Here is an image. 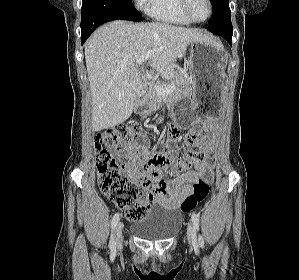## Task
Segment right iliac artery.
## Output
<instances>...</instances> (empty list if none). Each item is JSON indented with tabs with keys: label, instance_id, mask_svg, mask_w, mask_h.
<instances>
[{
	"label": "right iliac artery",
	"instance_id": "right-iliac-artery-1",
	"mask_svg": "<svg viewBox=\"0 0 299 280\" xmlns=\"http://www.w3.org/2000/svg\"><path fill=\"white\" fill-rule=\"evenodd\" d=\"M119 216L120 214L119 213H116L114 216H113V219H112V231L114 232V229L119 221ZM109 247L111 250H115V247H116V244H115V239H114V234L112 233L111 235V239H110V242H109Z\"/></svg>",
	"mask_w": 299,
	"mask_h": 280
}]
</instances>
